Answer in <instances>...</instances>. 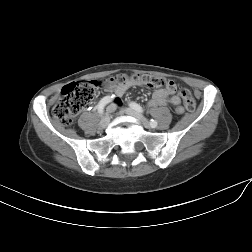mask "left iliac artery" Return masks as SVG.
<instances>
[{"label": "left iliac artery", "mask_w": 252, "mask_h": 252, "mask_svg": "<svg viewBox=\"0 0 252 252\" xmlns=\"http://www.w3.org/2000/svg\"><path fill=\"white\" fill-rule=\"evenodd\" d=\"M129 106H130L131 108L135 109L136 111L140 112V113L143 112L142 107H141L140 105H138L137 103H135V102H131V103L129 104ZM150 126H151L152 128H155V127L157 126V121L151 119V120H150Z\"/></svg>", "instance_id": "44dca946"}]
</instances>
